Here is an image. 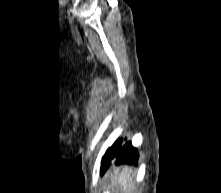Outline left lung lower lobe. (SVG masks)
<instances>
[{"label": "left lung lower lobe", "instance_id": "1", "mask_svg": "<svg viewBox=\"0 0 221 193\" xmlns=\"http://www.w3.org/2000/svg\"><path fill=\"white\" fill-rule=\"evenodd\" d=\"M139 158L138 151L132 146L131 141L126 138H119L115 143L107 149L101 162V174L109 168L110 162L116 159L115 164H136Z\"/></svg>", "mask_w": 221, "mask_h": 193}]
</instances>
